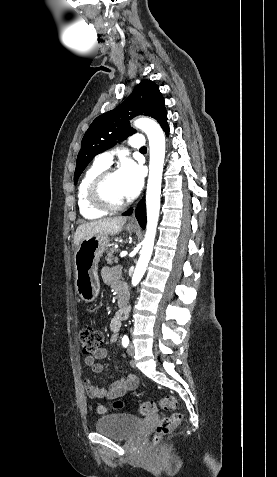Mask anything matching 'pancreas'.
Here are the masks:
<instances>
[{
	"label": "pancreas",
	"mask_w": 277,
	"mask_h": 477,
	"mask_svg": "<svg viewBox=\"0 0 277 477\" xmlns=\"http://www.w3.org/2000/svg\"><path fill=\"white\" fill-rule=\"evenodd\" d=\"M116 252H117L116 248H111L107 252V256L105 257V261L109 264H112L113 262H118V258L116 256H114V253H116Z\"/></svg>",
	"instance_id": "cf45deb5"
}]
</instances>
